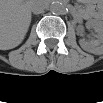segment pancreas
Listing matches in <instances>:
<instances>
[{
    "instance_id": "1",
    "label": "pancreas",
    "mask_w": 103,
    "mask_h": 103,
    "mask_svg": "<svg viewBox=\"0 0 103 103\" xmlns=\"http://www.w3.org/2000/svg\"><path fill=\"white\" fill-rule=\"evenodd\" d=\"M78 14H79L81 17L85 18V19H88V18H89V16H88L87 13L85 12V10L81 8V6H78Z\"/></svg>"
}]
</instances>
